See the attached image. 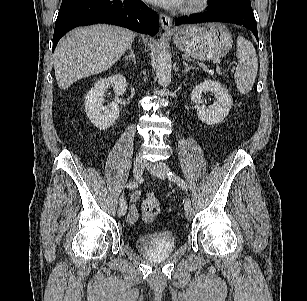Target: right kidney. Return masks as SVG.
<instances>
[{"mask_svg": "<svg viewBox=\"0 0 307 301\" xmlns=\"http://www.w3.org/2000/svg\"><path fill=\"white\" fill-rule=\"evenodd\" d=\"M111 85L117 96H122L127 88L126 78L121 74H115L98 80L85 98V110L91 123L99 128L107 129L119 118V106L116 102L104 106L103 94Z\"/></svg>", "mask_w": 307, "mask_h": 301, "instance_id": "1", "label": "right kidney"}]
</instances>
